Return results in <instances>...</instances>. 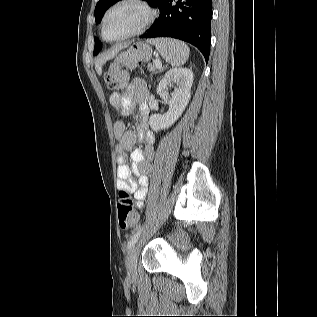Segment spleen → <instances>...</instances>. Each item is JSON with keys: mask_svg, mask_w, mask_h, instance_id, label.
Here are the masks:
<instances>
[{"mask_svg": "<svg viewBox=\"0 0 317 317\" xmlns=\"http://www.w3.org/2000/svg\"><path fill=\"white\" fill-rule=\"evenodd\" d=\"M148 43L154 45L160 55L172 66L183 65L189 57L188 46L179 40L170 38L150 39Z\"/></svg>", "mask_w": 317, "mask_h": 317, "instance_id": "obj_1", "label": "spleen"}]
</instances>
